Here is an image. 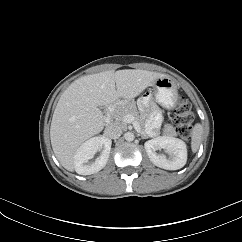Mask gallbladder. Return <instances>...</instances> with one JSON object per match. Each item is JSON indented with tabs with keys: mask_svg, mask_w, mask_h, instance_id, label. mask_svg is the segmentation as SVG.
Segmentation results:
<instances>
[{
	"mask_svg": "<svg viewBox=\"0 0 242 242\" xmlns=\"http://www.w3.org/2000/svg\"><path fill=\"white\" fill-rule=\"evenodd\" d=\"M99 109H100L102 112H105V106H99Z\"/></svg>",
	"mask_w": 242,
	"mask_h": 242,
	"instance_id": "gallbladder-1",
	"label": "gallbladder"
}]
</instances>
